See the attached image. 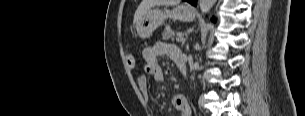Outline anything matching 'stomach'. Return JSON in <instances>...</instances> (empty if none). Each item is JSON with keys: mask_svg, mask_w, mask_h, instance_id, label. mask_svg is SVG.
Listing matches in <instances>:
<instances>
[{"mask_svg": "<svg viewBox=\"0 0 305 116\" xmlns=\"http://www.w3.org/2000/svg\"><path fill=\"white\" fill-rule=\"evenodd\" d=\"M167 18L192 21L195 18V11L190 5L186 4L178 5L172 10L149 9L136 24L138 36L142 39L150 37Z\"/></svg>", "mask_w": 305, "mask_h": 116, "instance_id": "0dacf381", "label": "stomach"}]
</instances>
